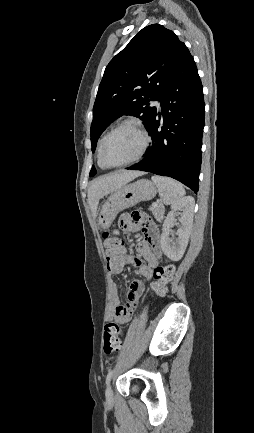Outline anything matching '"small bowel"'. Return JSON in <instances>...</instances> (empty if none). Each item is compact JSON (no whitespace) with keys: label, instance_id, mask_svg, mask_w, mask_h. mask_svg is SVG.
Masks as SVG:
<instances>
[{"label":"small bowel","instance_id":"obj_1","mask_svg":"<svg viewBox=\"0 0 254 433\" xmlns=\"http://www.w3.org/2000/svg\"><path fill=\"white\" fill-rule=\"evenodd\" d=\"M120 225L123 228H131L141 231L143 240L136 246L137 256L123 255L120 264L116 269H110L111 273L118 274L123 271L126 265H133L137 271L146 280L151 281L155 278V272L159 268V259L161 257L160 234L157 226L148 220L142 223L131 224L128 215L121 216ZM144 261L146 263H144ZM152 288L157 292L159 285L156 281L151 283ZM145 289L143 282L134 280L131 282L127 292V302L121 305L119 299L118 286L115 282L109 285L110 301L106 308L105 319L125 324L130 321L132 313ZM164 293L166 287L163 286Z\"/></svg>","mask_w":254,"mask_h":433}]
</instances>
